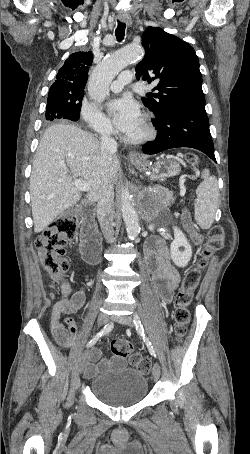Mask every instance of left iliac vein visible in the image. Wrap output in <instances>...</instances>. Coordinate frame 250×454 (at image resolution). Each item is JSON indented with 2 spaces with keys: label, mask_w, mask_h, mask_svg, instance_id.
Masks as SVG:
<instances>
[{
  "label": "left iliac vein",
  "mask_w": 250,
  "mask_h": 454,
  "mask_svg": "<svg viewBox=\"0 0 250 454\" xmlns=\"http://www.w3.org/2000/svg\"><path fill=\"white\" fill-rule=\"evenodd\" d=\"M112 320L117 321L120 324L127 325L129 327H133V320L129 315H121V316H112ZM152 374L155 380L160 378L161 369L158 362H155L152 370Z\"/></svg>",
  "instance_id": "1"
}]
</instances>
